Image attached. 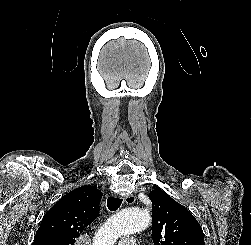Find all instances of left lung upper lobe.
<instances>
[{"mask_svg":"<svg viewBox=\"0 0 251 245\" xmlns=\"http://www.w3.org/2000/svg\"><path fill=\"white\" fill-rule=\"evenodd\" d=\"M154 245H205L202 228L187 208L161 189L150 192Z\"/></svg>","mask_w":251,"mask_h":245,"instance_id":"obj_1","label":"left lung upper lobe"}]
</instances>
